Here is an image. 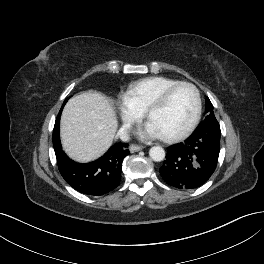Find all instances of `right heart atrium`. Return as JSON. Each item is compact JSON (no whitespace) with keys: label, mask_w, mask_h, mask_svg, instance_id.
<instances>
[{"label":"right heart atrium","mask_w":264,"mask_h":264,"mask_svg":"<svg viewBox=\"0 0 264 264\" xmlns=\"http://www.w3.org/2000/svg\"><path fill=\"white\" fill-rule=\"evenodd\" d=\"M120 113L126 128H129L134 122L138 121L143 112L130 105L124 98L120 102Z\"/></svg>","instance_id":"d8ad5b80"}]
</instances>
